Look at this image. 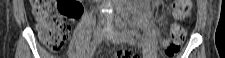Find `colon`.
<instances>
[{
    "label": "colon",
    "mask_w": 225,
    "mask_h": 58,
    "mask_svg": "<svg viewBox=\"0 0 225 58\" xmlns=\"http://www.w3.org/2000/svg\"><path fill=\"white\" fill-rule=\"evenodd\" d=\"M32 12L37 21V32L41 42L52 52L61 50L69 35L67 18L77 19L82 15L80 1L74 0H35L32 1ZM172 15L181 20L192 11L191 0H175L172 2ZM185 30L179 24L172 25L169 34L162 40L163 53L173 57L182 48ZM115 58H136L132 50H120Z\"/></svg>",
    "instance_id": "1"
}]
</instances>
